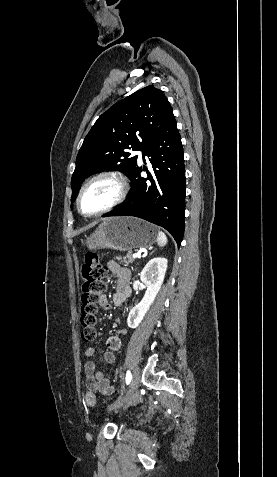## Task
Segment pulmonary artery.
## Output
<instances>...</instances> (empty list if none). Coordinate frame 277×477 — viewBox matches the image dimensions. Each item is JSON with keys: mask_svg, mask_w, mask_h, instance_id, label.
<instances>
[{"mask_svg": "<svg viewBox=\"0 0 277 477\" xmlns=\"http://www.w3.org/2000/svg\"><path fill=\"white\" fill-rule=\"evenodd\" d=\"M137 154H138L139 158H142V156H143V152H142V151H138Z\"/></svg>", "mask_w": 277, "mask_h": 477, "instance_id": "1", "label": "pulmonary artery"}]
</instances>
